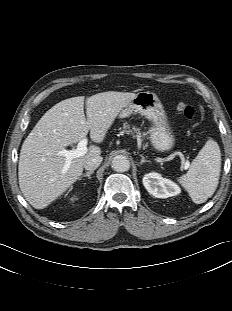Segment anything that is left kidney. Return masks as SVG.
<instances>
[{"instance_id":"left-kidney-1","label":"left kidney","mask_w":232,"mask_h":311,"mask_svg":"<svg viewBox=\"0 0 232 311\" xmlns=\"http://www.w3.org/2000/svg\"><path fill=\"white\" fill-rule=\"evenodd\" d=\"M143 185L150 194L157 198H168L176 196L181 192L180 187L176 183L163 178L156 172L144 175Z\"/></svg>"}]
</instances>
